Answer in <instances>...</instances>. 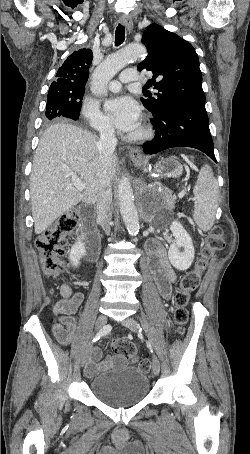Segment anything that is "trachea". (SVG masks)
Listing matches in <instances>:
<instances>
[{
  "label": "trachea",
  "instance_id": "3493384b",
  "mask_svg": "<svg viewBox=\"0 0 250 454\" xmlns=\"http://www.w3.org/2000/svg\"><path fill=\"white\" fill-rule=\"evenodd\" d=\"M125 39V27L121 24H118L117 28H116V32H115V45L116 46H119L120 44L123 43ZM145 89H147L148 87H144Z\"/></svg>",
  "mask_w": 250,
  "mask_h": 454
}]
</instances>
